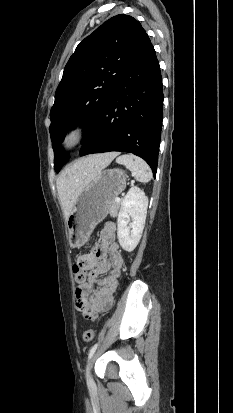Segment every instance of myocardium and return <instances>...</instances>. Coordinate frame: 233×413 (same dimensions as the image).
<instances>
[{
  "mask_svg": "<svg viewBox=\"0 0 233 413\" xmlns=\"http://www.w3.org/2000/svg\"><path fill=\"white\" fill-rule=\"evenodd\" d=\"M89 124L86 121H78L68 127L62 135L61 146L65 150H72L79 146L87 137Z\"/></svg>",
  "mask_w": 233,
  "mask_h": 413,
  "instance_id": "obj_1",
  "label": "myocardium"
}]
</instances>
